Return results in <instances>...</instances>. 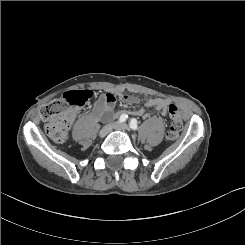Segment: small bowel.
<instances>
[{"label":"small bowel","instance_id":"obj_1","mask_svg":"<svg viewBox=\"0 0 245 245\" xmlns=\"http://www.w3.org/2000/svg\"><path fill=\"white\" fill-rule=\"evenodd\" d=\"M123 101L127 104H136L138 102V98L132 95H124ZM115 103L116 99L114 95L109 93L101 95L93 106L92 116L96 119H103L107 117L113 110ZM169 103V100L160 97H147L144 100V104L146 107L154 108L160 112H165L166 107L169 105ZM135 113L138 116L144 118L147 117V114L144 109H139Z\"/></svg>","mask_w":245,"mask_h":245}]
</instances>
